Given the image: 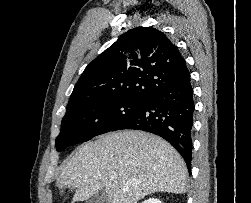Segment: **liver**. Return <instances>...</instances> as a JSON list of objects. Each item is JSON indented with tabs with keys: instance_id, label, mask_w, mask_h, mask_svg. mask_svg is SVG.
Segmentation results:
<instances>
[{
	"instance_id": "1",
	"label": "liver",
	"mask_w": 251,
	"mask_h": 203,
	"mask_svg": "<svg viewBox=\"0 0 251 203\" xmlns=\"http://www.w3.org/2000/svg\"><path fill=\"white\" fill-rule=\"evenodd\" d=\"M187 176L184 160L167 141L125 130L78 147L63 165L57 186L60 193L74 189L73 202L104 190L109 203H137L156 192L185 193Z\"/></svg>"
}]
</instances>
